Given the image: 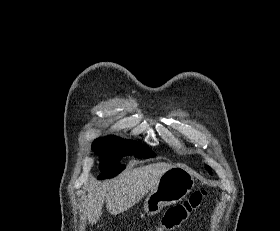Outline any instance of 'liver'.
I'll return each instance as SVG.
<instances>
[{
	"mask_svg": "<svg viewBox=\"0 0 280 231\" xmlns=\"http://www.w3.org/2000/svg\"><path fill=\"white\" fill-rule=\"evenodd\" d=\"M170 163H149L133 169H126L119 177L108 183H93L87 191L84 211L89 223H96L102 213V205L106 199L110 213H121L135 205L145 193L156 187L161 175L171 169Z\"/></svg>",
	"mask_w": 280,
	"mask_h": 231,
	"instance_id": "liver-1",
	"label": "liver"
}]
</instances>
